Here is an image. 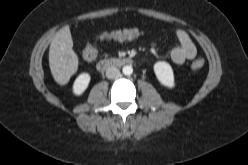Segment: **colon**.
Wrapping results in <instances>:
<instances>
[{
	"label": "colon",
	"instance_id": "obj_1",
	"mask_svg": "<svg viewBox=\"0 0 248 165\" xmlns=\"http://www.w3.org/2000/svg\"><path fill=\"white\" fill-rule=\"evenodd\" d=\"M132 33L128 31H113V32H103L100 34L101 39L106 38H127L131 36ZM97 57V50L93 45H87L83 51V58L87 62H93ZM204 66L203 59H196L192 63V69L198 71Z\"/></svg>",
	"mask_w": 248,
	"mask_h": 165
}]
</instances>
